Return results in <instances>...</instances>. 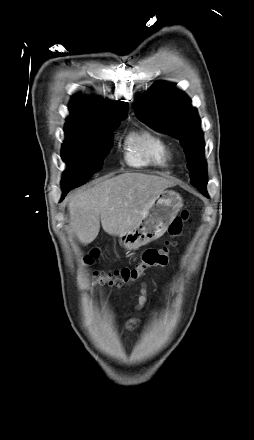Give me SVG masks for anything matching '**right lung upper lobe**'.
Returning <instances> with one entry per match:
<instances>
[{"instance_id":"1","label":"right lung upper lobe","mask_w":254,"mask_h":440,"mask_svg":"<svg viewBox=\"0 0 254 440\" xmlns=\"http://www.w3.org/2000/svg\"><path fill=\"white\" fill-rule=\"evenodd\" d=\"M69 110L70 116L66 122L68 125L103 128L119 123V113L109 100L76 95L70 103Z\"/></svg>"}]
</instances>
